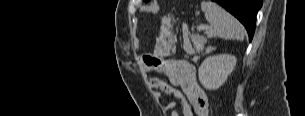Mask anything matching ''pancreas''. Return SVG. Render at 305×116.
<instances>
[{
    "label": "pancreas",
    "mask_w": 305,
    "mask_h": 116,
    "mask_svg": "<svg viewBox=\"0 0 305 116\" xmlns=\"http://www.w3.org/2000/svg\"><path fill=\"white\" fill-rule=\"evenodd\" d=\"M192 43L196 49V51L202 52L204 49V44L206 43V38L200 36V35H193L192 38ZM185 51L189 54L192 55L195 53V50L191 49L190 47H185Z\"/></svg>",
    "instance_id": "1"
}]
</instances>
